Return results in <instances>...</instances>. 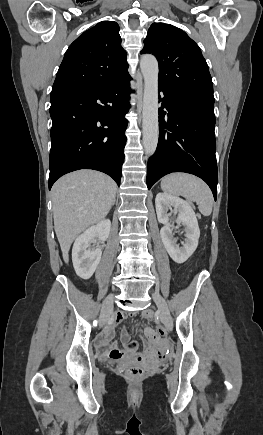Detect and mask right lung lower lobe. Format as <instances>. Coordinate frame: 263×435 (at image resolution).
Returning <instances> with one entry per match:
<instances>
[{"mask_svg":"<svg viewBox=\"0 0 263 435\" xmlns=\"http://www.w3.org/2000/svg\"><path fill=\"white\" fill-rule=\"evenodd\" d=\"M130 80L126 74L91 90L51 100L49 189L62 175L79 169L104 172L120 184Z\"/></svg>","mask_w":263,"mask_h":435,"instance_id":"1","label":"right lung lower lobe"}]
</instances>
